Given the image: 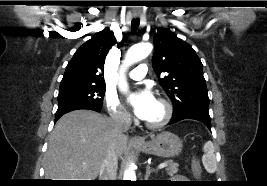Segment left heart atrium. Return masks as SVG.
Wrapping results in <instances>:
<instances>
[{
  "mask_svg": "<svg viewBox=\"0 0 267 186\" xmlns=\"http://www.w3.org/2000/svg\"><path fill=\"white\" fill-rule=\"evenodd\" d=\"M129 100L133 105L135 115L142 120L150 116L157 101L149 90L139 91L131 95Z\"/></svg>",
  "mask_w": 267,
  "mask_h": 186,
  "instance_id": "left-heart-atrium-1",
  "label": "left heart atrium"
}]
</instances>
